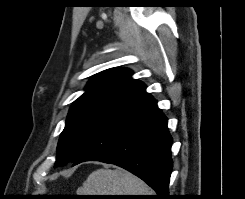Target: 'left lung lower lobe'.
Listing matches in <instances>:
<instances>
[{"label": "left lung lower lobe", "mask_w": 245, "mask_h": 199, "mask_svg": "<svg viewBox=\"0 0 245 199\" xmlns=\"http://www.w3.org/2000/svg\"><path fill=\"white\" fill-rule=\"evenodd\" d=\"M171 145L167 118L145 92L92 138L73 165L92 160L118 165L152 187L157 199H166Z\"/></svg>", "instance_id": "obj_1"}]
</instances>
